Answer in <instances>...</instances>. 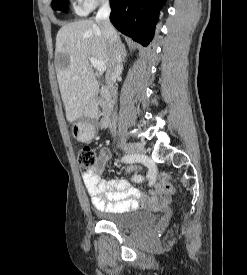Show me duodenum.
<instances>
[{"instance_id":"duodenum-1","label":"duodenum","mask_w":247,"mask_h":275,"mask_svg":"<svg viewBox=\"0 0 247 275\" xmlns=\"http://www.w3.org/2000/svg\"><path fill=\"white\" fill-rule=\"evenodd\" d=\"M97 106L100 107L102 113L99 117V125L101 128H105L111 119L113 110L111 95L109 90H101L95 101L87 105L86 111L91 113Z\"/></svg>"}]
</instances>
